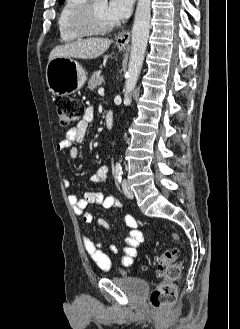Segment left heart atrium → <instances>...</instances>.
<instances>
[{
	"label": "left heart atrium",
	"mask_w": 240,
	"mask_h": 329,
	"mask_svg": "<svg viewBox=\"0 0 240 329\" xmlns=\"http://www.w3.org/2000/svg\"><path fill=\"white\" fill-rule=\"evenodd\" d=\"M133 0H109L106 6V16L112 22H119L129 17Z\"/></svg>",
	"instance_id": "obj_1"
}]
</instances>
